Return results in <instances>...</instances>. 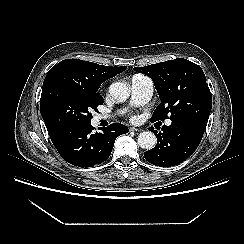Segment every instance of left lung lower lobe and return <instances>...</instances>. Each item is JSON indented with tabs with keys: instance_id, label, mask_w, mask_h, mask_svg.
I'll return each instance as SVG.
<instances>
[{
	"instance_id": "0a47b994",
	"label": "left lung lower lobe",
	"mask_w": 244,
	"mask_h": 244,
	"mask_svg": "<svg viewBox=\"0 0 244 244\" xmlns=\"http://www.w3.org/2000/svg\"><path fill=\"white\" fill-rule=\"evenodd\" d=\"M205 127L192 121H172L170 126L164 125L163 132H157V145L144 153L145 159L156 166H175L196 150L202 140Z\"/></svg>"
}]
</instances>
